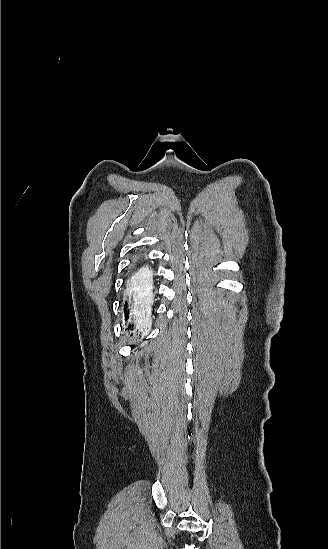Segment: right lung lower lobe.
<instances>
[{
	"label": "right lung lower lobe",
	"mask_w": 328,
	"mask_h": 549,
	"mask_svg": "<svg viewBox=\"0 0 328 549\" xmlns=\"http://www.w3.org/2000/svg\"><path fill=\"white\" fill-rule=\"evenodd\" d=\"M150 284H151V273L149 269L144 266L141 267L139 270L134 272L130 275L128 278V285L129 287L133 288L135 291V295L145 294L150 290ZM134 296L131 297L126 296V301L124 304V312H125V320L128 319V314L130 311V305L134 303ZM131 327V326H129ZM128 327V328H129Z\"/></svg>",
	"instance_id": "obj_1"
}]
</instances>
